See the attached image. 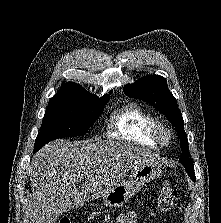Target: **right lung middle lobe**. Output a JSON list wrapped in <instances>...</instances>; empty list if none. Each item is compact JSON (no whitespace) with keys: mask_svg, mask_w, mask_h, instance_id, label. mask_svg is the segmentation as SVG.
Segmentation results:
<instances>
[{"mask_svg":"<svg viewBox=\"0 0 221 223\" xmlns=\"http://www.w3.org/2000/svg\"><path fill=\"white\" fill-rule=\"evenodd\" d=\"M108 101L109 98L49 103L35 141L34 152L52 140L86 134Z\"/></svg>","mask_w":221,"mask_h":223,"instance_id":"obj_1","label":"right lung middle lobe"}]
</instances>
